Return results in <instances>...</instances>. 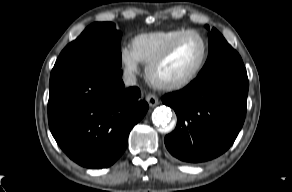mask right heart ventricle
Masks as SVG:
<instances>
[{
  "label": "right heart ventricle",
  "mask_w": 292,
  "mask_h": 192,
  "mask_svg": "<svg viewBox=\"0 0 292 192\" xmlns=\"http://www.w3.org/2000/svg\"><path fill=\"white\" fill-rule=\"evenodd\" d=\"M186 29L176 28L169 30L142 33L132 40V48L143 64L151 62L175 37Z\"/></svg>",
  "instance_id": "e07e8e85"
}]
</instances>
